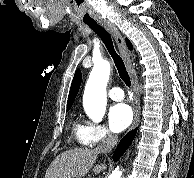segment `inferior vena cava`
Masks as SVG:
<instances>
[{
	"label": "inferior vena cava",
	"instance_id": "inferior-vena-cava-1",
	"mask_svg": "<svg viewBox=\"0 0 194 178\" xmlns=\"http://www.w3.org/2000/svg\"><path fill=\"white\" fill-rule=\"evenodd\" d=\"M118 137L112 133H108L103 142L96 148L98 153H109L117 144Z\"/></svg>",
	"mask_w": 194,
	"mask_h": 178
}]
</instances>
